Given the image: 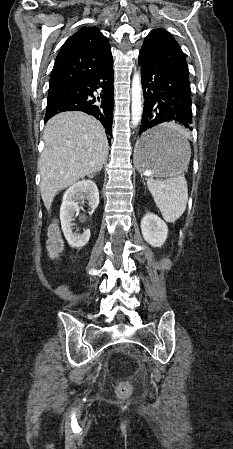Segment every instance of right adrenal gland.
I'll return each instance as SVG.
<instances>
[{
  "label": "right adrenal gland",
  "mask_w": 233,
  "mask_h": 449,
  "mask_svg": "<svg viewBox=\"0 0 233 449\" xmlns=\"http://www.w3.org/2000/svg\"><path fill=\"white\" fill-rule=\"evenodd\" d=\"M94 175H96V172L95 173H93V174H91L89 177L90 178H93L94 177Z\"/></svg>",
  "instance_id": "obj_1"
}]
</instances>
